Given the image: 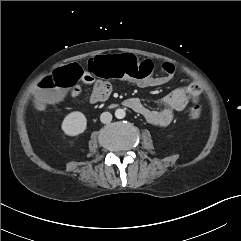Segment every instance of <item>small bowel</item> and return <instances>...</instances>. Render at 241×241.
I'll list each match as a JSON object with an SVG mask.
<instances>
[{
    "instance_id": "c3829d8e",
    "label": "small bowel",
    "mask_w": 241,
    "mask_h": 241,
    "mask_svg": "<svg viewBox=\"0 0 241 241\" xmlns=\"http://www.w3.org/2000/svg\"><path fill=\"white\" fill-rule=\"evenodd\" d=\"M173 75L167 74L162 77H149L140 80L138 84L142 87H154L167 84ZM85 84H92L88 102L92 105L105 102L112 93L113 86L106 80H95L94 76L82 69L79 78ZM82 93L80 85L74 86L70 91V96L78 98ZM202 94L201 86L198 82H192L185 87L176 88L160 99L161 108L158 110L148 108L137 97H129L125 100L127 107L141 115L147 122L156 126H167L173 118L175 112L183 111L189 104H196Z\"/></svg>"
}]
</instances>
